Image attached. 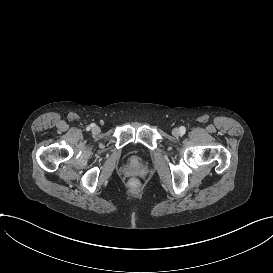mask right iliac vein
<instances>
[{"label": "right iliac vein", "instance_id": "63e3f726", "mask_svg": "<svg viewBox=\"0 0 273 273\" xmlns=\"http://www.w3.org/2000/svg\"><path fill=\"white\" fill-rule=\"evenodd\" d=\"M92 131H93L94 133H98V132H99V129H98L97 127H94V128L92 129Z\"/></svg>", "mask_w": 273, "mask_h": 273}]
</instances>
